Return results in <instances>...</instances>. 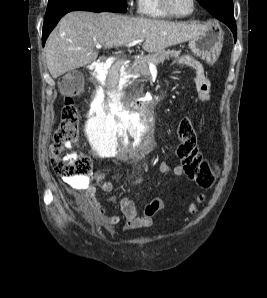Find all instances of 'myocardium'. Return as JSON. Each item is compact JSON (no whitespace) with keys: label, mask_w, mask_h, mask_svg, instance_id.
Instances as JSON below:
<instances>
[{"label":"myocardium","mask_w":267,"mask_h":298,"mask_svg":"<svg viewBox=\"0 0 267 298\" xmlns=\"http://www.w3.org/2000/svg\"><path fill=\"white\" fill-rule=\"evenodd\" d=\"M160 7L162 8L163 11H165L167 14H169L172 17L175 18H186L191 16L195 9H196V0H192V8L190 12L186 14H178L173 9L170 7L169 0H159Z\"/></svg>","instance_id":"myocardium-1"}]
</instances>
